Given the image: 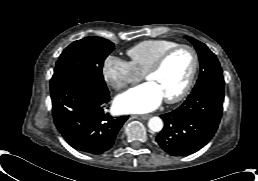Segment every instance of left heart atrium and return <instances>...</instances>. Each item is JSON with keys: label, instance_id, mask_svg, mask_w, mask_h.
Here are the masks:
<instances>
[{"label": "left heart atrium", "instance_id": "left-heart-atrium-1", "mask_svg": "<svg viewBox=\"0 0 258 181\" xmlns=\"http://www.w3.org/2000/svg\"><path fill=\"white\" fill-rule=\"evenodd\" d=\"M163 99L159 88L146 82L117 96L115 107L121 113H146L156 109Z\"/></svg>", "mask_w": 258, "mask_h": 181}]
</instances>
